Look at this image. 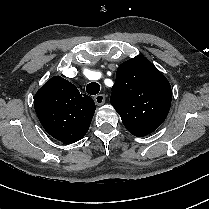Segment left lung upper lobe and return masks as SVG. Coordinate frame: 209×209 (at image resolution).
<instances>
[{
    "instance_id": "5c2ea615",
    "label": "left lung upper lobe",
    "mask_w": 209,
    "mask_h": 209,
    "mask_svg": "<svg viewBox=\"0 0 209 209\" xmlns=\"http://www.w3.org/2000/svg\"><path fill=\"white\" fill-rule=\"evenodd\" d=\"M171 99L168 80L147 58L139 55L118 67L110 103L134 136L156 130L168 115Z\"/></svg>"
}]
</instances>
